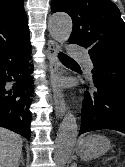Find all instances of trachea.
Instances as JSON below:
<instances>
[{"mask_svg":"<svg viewBox=\"0 0 125 167\" xmlns=\"http://www.w3.org/2000/svg\"><path fill=\"white\" fill-rule=\"evenodd\" d=\"M59 58L63 62H75L72 58H70L69 56H67L63 53H59Z\"/></svg>","mask_w":125,"mask_h":167,"instance_id":"1","label":"trachea"}]
</instances>
